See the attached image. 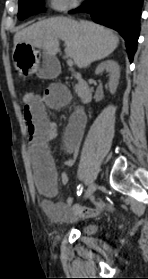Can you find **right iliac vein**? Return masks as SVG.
I'll return each mask as SVG.
<instances>
[{
    "instance_id": "obj_1",
    "label": "right iliac vein",
    "mask_w": 148,
    "mask_h": 279,
    "mask_svg": "<svg viewBox=\"0 0 148 279\" xmlns=\"http://www.w3.org/2000/svg\"><path fill=\"white\" fill-rule=\"evenodd\" d=\"M95 189H96L95 182L90 183V185L88 186V188L85 192L84 199L86 200V199L91 198L93 196V193H94Z\"/></svg>"
}]
</instances>
